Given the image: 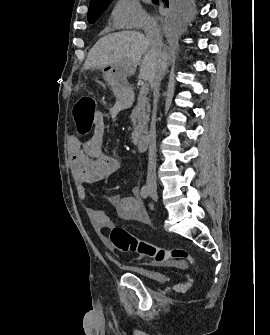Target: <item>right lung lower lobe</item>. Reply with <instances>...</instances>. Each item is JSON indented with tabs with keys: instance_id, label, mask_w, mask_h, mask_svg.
I'll return each instance as SVG.
<instances>
[{
	"instance_id": "1",
	"label": "right lung lower lobe",
	"mask_w": 270,
	"mask_h": 335,
	"mask_svg": "<svg viewBox=\"0 0 270 335\" xmlns=\"http://www.w3.org/2000/svg\"><path fill=\"white\" fill-rule=\"evenodd\" d=\"M165 4H166V6H168L169 5V3H168V1L167 0H162ZM171 3H173V2H171Z\"/></svg>"
}]
</instances>
